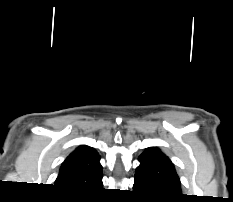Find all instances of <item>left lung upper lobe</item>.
<instances>
[{
  "instance_id": "1",
  "label": "left lung upper lobe",
  "mask_w": 233,
  "mask_h": 202,
  "mask_svg": "<svg viewBox=\"0 0 233 202\" xmlns=\"http://www.w3.org/2000/svg\"><path fill=\"white\" fill-rule=\"evenodd\" d=\"M135 175L142 176L154 187L181 193L180 179L171 160L158 148H147L140 156Z\"/></svg>"
}]
</instances>
